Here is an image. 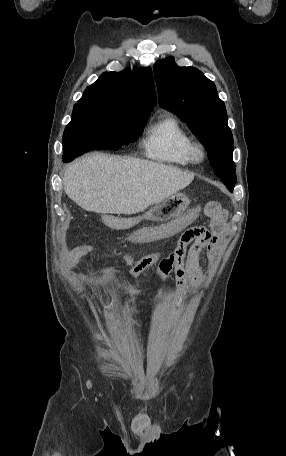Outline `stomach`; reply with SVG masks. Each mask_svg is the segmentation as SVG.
Instances as JSON below:
<instances>
[{
	"label": "stomach",
	"mask_w": 286,
	"mask_h": 456,
	"mask_svg": "<svg viewBox=\"0 0 286 456\" xmlns=\"http://www.w3.org/2000/svg\"><path fill=\"white\" fill-rule=\"evenodd\" d=\"M189 198L182 193H175L161 202L156 203L144 215L147 220L167 221L180 216L188 207Z\"/></svg>",
	"instance_id": "1"
}]
</instances>
